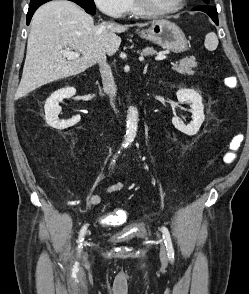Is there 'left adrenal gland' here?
Instances as JSON below:
<instances>
[{
    "mask_svg": "<svg viewBox=\"0 0 249 294\" xmlns=\"http://www.w3.org/2000/svg\"><path fill=\"white\" fill-rule=\"evenodd\" d=\"M147 67H148V65L146 64V66L144 67V71H143L144 74H146V72H147Z\"/></svg>",
    "mask_w": 249,
    "mask_h": 294,
    "instance_id": "obj_1",
    "label": "left adrenal gland"
}]
</instances>
